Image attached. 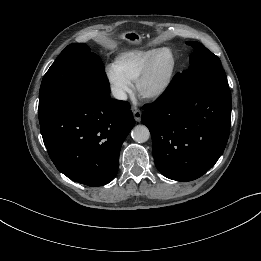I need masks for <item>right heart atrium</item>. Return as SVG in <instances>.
I'll list each match as a JSON object with an SVG mask.
<instances>
[{"label":"right heart atrium","instance_id":"right-heart-atrium-1","mask_svg":"<svg viewBox=\"0 0 261 261\" xmlns=\"http://www.w3.org/2000/svg\"><path fill=\"white\" fill-rule=\"evenodd\" d=\"M105 75L114 96L121 100L125 99L131 92V83L116 70L113 64L106 66Z\"/></svg>","mask_w":261,"mask_h":261}]
</instances>
